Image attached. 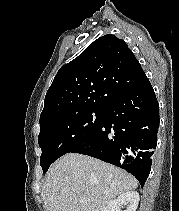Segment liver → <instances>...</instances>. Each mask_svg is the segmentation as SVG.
Instances as JSON below:
<instances>
[{
	"label": "liver",
	"mask_w": 179,
	"mask_h": 211,
	"mask_svg": "<svg viewBox=\"0 0 179 211\" xmlns=\"http://www.w3.org/2000/svg\"><path fill=\"white\" fill-rule=\"evenodd\" d=\"M138 181L111 164L68 153L55 161L42 187L46 211H104L118 195L135 190ZM80 199H86L81 203Z\"/></svg>",
	"instance_id": "liver-1"
}]
</instances>
